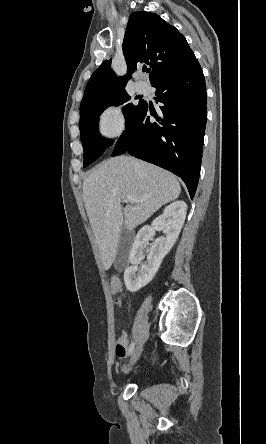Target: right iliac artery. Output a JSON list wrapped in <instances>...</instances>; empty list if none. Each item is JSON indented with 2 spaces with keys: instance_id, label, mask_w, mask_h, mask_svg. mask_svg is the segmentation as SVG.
Here are the masks:
<instances>
[{
  "instance_id": "82829eb1",
  "label": "right iliac artery",
  "mask_w": 266,
  "mask_h": 444,
  "mask_svg": "<svg viewBox=\"0 0 266 444\" xmlns=\"http://www.w3.org/2000/svg\"><path fill=\"white\" fill-rule=\"evenodd\" d=\"M134 347H135V343L132 342V343L130 344V346H129V349H128V353H129V355L133 352Z\"/></svg>"
}]
</instances>
